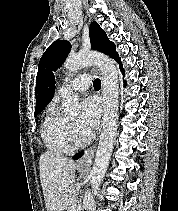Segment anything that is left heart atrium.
<instances>
[{
    "label": "left heart atrium",
    "mask_w": 178,
    "mask_h": 211,
    "mask_svg": "<svg viewBox=\"0 0 178 211\" xmlns=\"http://www.w3.org/2000/svg\"><path fill=\"white\" fill-rule=\"evenodd\" d=\"M100 106L93 97L85 98L81 103V116L78 120V128L88 136L98 124Z\"/></svg>",
    "instance_id": "39dd6f15"
}]
</instances>
